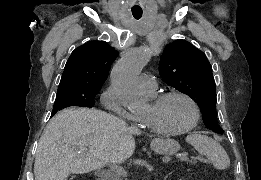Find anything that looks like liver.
Masks as SVG:
<instances>
[{"instance_id": "liver-1", "label": "liver", "mask_w": 261, "mask_h": 180, "mask_svg": "<svg viewBox=\"0 0 261 180\" xmlns=\"http://www.w3.org/2000/svg\"><path fill=\"white\" fill-rule=\"evenodd\" d=\"M140 134L138 128H128L124 120L102 110H62L39 140L35 180H67L70 174L123 164L134 154L133 136Z\"/></svg>"}]
</instances>
